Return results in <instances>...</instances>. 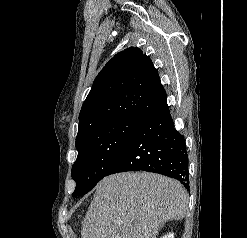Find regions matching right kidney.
<instances>
[{"mask_svg": "<svg viewBox=\"0 0 247 238\" xmlns=\"http://www.w3.org/2000/svg\"><path fill=\"white\" fill-rule=\"evenodd\" d=\"M162 238H174V234L173 233H169L168 235H165Z\"/></svg>", "mask_w": 247, "mask_h": 238, "instance_id": "right-kidney-1", "label": "right kidney"}]
</instances>
